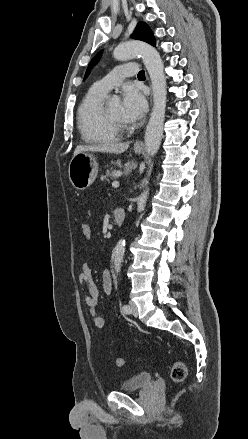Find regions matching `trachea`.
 Segmentation results:
<instances>
[{"label":"trachea","mask_w":248,"mask_h":439,"mask_svg":"<svg viewBox=\"0 0 248 439\" xmlns=\"http://www.w3.org/2000/svg\"><path fill=\"white\" fill-rule=\"evenodd\" d=\"M138 77H145V72H144V70H141V71L138 73Z\"/></svg>","instance_id":"trachea-1"}]
</instances>
